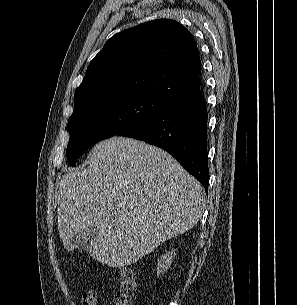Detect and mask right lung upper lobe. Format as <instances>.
Returning a JSON list of instances; mask_svg holds the SVG:
<instances>
[{"label": "right lung upper lobe", "instance_id": "obj_1", "mask_svg": "<svg viewBox=\"0 0 297 305\" xmlns=\"http://www.w3.org/2000/svg\"><path fill=\"white\" fill-rule=\"evenodd\" d=\"M201 61L191 33L170 19H157L109 39L90 62L74 95V110L127 93L171 100L200 87Z\"/></svg>", "mask_w": 297, "mask_h": 305}]
</instances>
